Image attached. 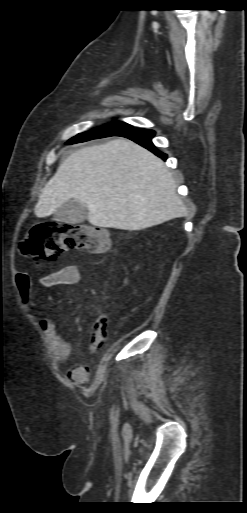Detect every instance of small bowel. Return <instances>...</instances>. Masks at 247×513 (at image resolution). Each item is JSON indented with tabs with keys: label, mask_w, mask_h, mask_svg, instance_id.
<instances>
[{
	"label": "small bowel",
	"mask_w": 247,
	"mask_h": 513,
	"mask_svg": "<svg viewBox=\"0 0 247 513\" xmlns=\"http://www.w3.org/2000/svg\"><path fill=\"white\" fill-rule=\"evenodd\" d=\"M80 279L79 268L76 265H68L43 277L40 285L48 288L59 284H77ZM16 282L21 296L27 305L30 306L32 302L30 274L27 271L19 272ZM36 317L38 325L49 343L52 360L59 364L66 362L71 355L69 341L59 334L56 324L52 319L41 315ZM88 375V370L83 363L68 372V378L76 384H83Z\"/></svg>",
	"instance_id": "small-bowel-1"
}]
</instances>
